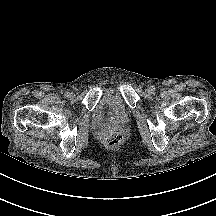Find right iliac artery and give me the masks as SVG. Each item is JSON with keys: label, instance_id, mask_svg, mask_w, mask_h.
<instances>
[{"label": "right iliac artery", "instance_id": "obj_1", "mask_svg": "<svg viewBox=\"0 0 216 216\" xmlns=\"http://www.w3.org/2000/svg\"><path fill=\"white\" fill-rule=\"evenodd\" d=\"M64 96H65V97H69V92H65V93H64Z\"/></svg>", "mask_w": 216, "mask_h": 216}]
</instances>
